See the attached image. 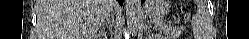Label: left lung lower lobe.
Masks as SVG:
<instances>
[{
  "mask_svg": "<svg viewBox=\"0 0 249 39\" xmlns=\"http://www.w3.org/2000/svg\"><path fill=\"white\" fill-rule=\"evenodd\" d=\"M144 2V0H141V4Z\"/></svg>",
  "mask_w": 249,
  "mask_h": 39,
  "instance_id": "1",
  "label": "left lung lower lobe"
}]
</instances>
